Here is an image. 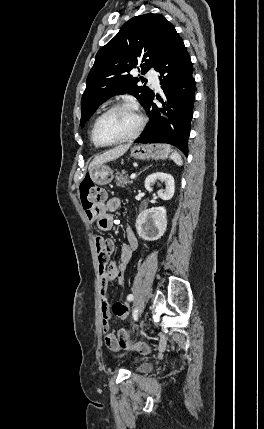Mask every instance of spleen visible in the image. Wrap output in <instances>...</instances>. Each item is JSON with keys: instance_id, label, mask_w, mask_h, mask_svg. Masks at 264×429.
I'll return each instance as SVG.
<instances>
[{"instance_id": "3e777b00", "label": "spleen", "mask_w": 264, "mask_h": 429, "mask_svg": "<svg viewBox=\"0 0 264 429\" xmlns=\"http://www.w3.org/2000/svg\"><path fill=\"white\" fill-rule=\"evenodd\" d=\"M170 159L173 160L179 166H182L183 164L181 155L176 151L171 154Z\"/></svg>"}]
</instances>
